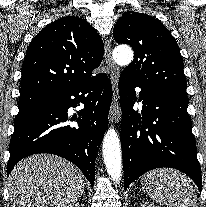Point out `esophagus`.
Listing matches in <instances>:
<instances>
[{"mask_svg":"<svg viewBox=\"0 0 206 207\" xmlns=\"http://www.w3.org/2000/svg\"><path fill=\"white\" fill-rule=\"evenodd\" d=\"M105 62L110 70V79L113 88V99L110 107V116L109 121L111 123H118L120 119L119 112V89H118V79H119V68L113 62L111 55V44L110 40H107L105 43V51H104Z\"/></svg>","mask_w":206,"mask_h":207,"instance_id":"1","label":"esophagus"}]
</instances>
